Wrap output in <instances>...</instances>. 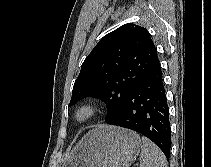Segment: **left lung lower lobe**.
I'll return each instance as SVG.
<instances>
[{
  "mask_svg": "<svg viewBox=\"0 0 211 167\" xmlns=\"http://www.w3.org/2000/svg\"><path fill=\"white\" fill-rule=\"evenodd\" d=\"M106 122L146 136L169 160L171 148L169 107L159 61L146 79L127 96L119 113Z\"/></svg>",
  "mask_w": 211,
  "mask_h": 167,
  "instance_id": "1",
  "label": "left lung lower lobe"
}]
</instances>
